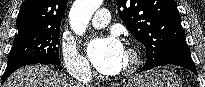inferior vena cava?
<instances>
[{
    "label": "inferior vena cava",
    "instance_id": "602c4592",
    "mask_svg": "<svg viewBox=\"0 0 205 87\" xmlns=\"http://www.w3.org/2000/svg\"><path fill=\"white\" fill-rule=\"evenodd\" d=\"M84 84H88L91 80V74L84 70L82 78L79 79Z\"/></svg>",
    "mask_w": 205,
    "mask_h": 87
}]
</instances>
